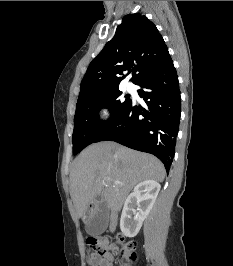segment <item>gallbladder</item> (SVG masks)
I'll list each match as a JSON object with an SVG mask.
<instances>
[{"label":"gallbladder","mask_w":233,"mask_h":266,"mask_svg":"<svg viewBox=\"0 0 233 266\" xmlns=\"http://www.w3.org/2000/svg\"><path fill=\"white\" fill-rule=\"evenodd\" d=\"M109 214L105 202L98 206L94 215L86 223V232L90 235L97 236L102 234L108 227Z\"/></svg>","instance_id":"bac80fb5"}]
</instances>
